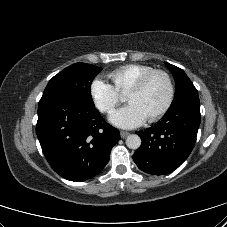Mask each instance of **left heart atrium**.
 Here are the masks:
<instances>
[{"label": "left heart atrium", "mask_w": 227, "mask_h": 227, "mask_svg": "<svg viewBox=\"0 0 227 227\" xmlns=\"http://www.w3.org/2000/svg\"><path fill=\"white\" fill-rule=\"evenodd\" d=\"M146 116L135 104L129 103L127 106L115 111L110 116V121L125 129L135 128L146 121Z\"/></svg>", "instance_id": "1"}]
</instances>
